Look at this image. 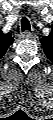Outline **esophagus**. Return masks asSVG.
Wrapping results in <instances>:
<instances>
[{
  "instance_id": "1",
  "label": "esophagus",
  "mask_w": 53,
  "mask_h": 120,
  "mask_svg": "<svg viewBox=\"0 0 53 120\" xmlns=\"http://www.w3.org/2000/svg\"><path fill=\"white\" fill-rule=\"evenodd\" d=\"M22 39H34L35 35L29 31H25L21 34Z\"/></svg>"
}]
</instances>
